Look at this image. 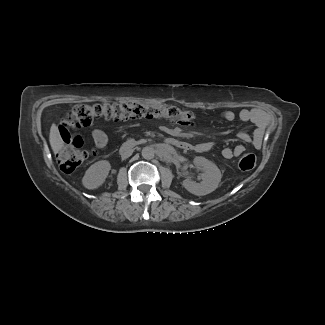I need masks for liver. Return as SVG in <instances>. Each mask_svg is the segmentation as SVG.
Listing matches in <instances>:
<instances>
[{
    "label": "liver",
    "instance_id": "obj_1",
    "mask_svg": "<svg viewBox=\"0 0 325 325\" xmlns=\"http://www.w3.org/2000/svg\"><path fill=\"white\" fill-rule=\"evenodd\" d=\"M49 142L55 154L58 153L64 146V142L61 138L58 126L54 123L50 128Z\"/></svg>",
    "mask_w": 325,
    "mask_h": 325
}]
</instances>
